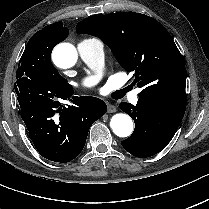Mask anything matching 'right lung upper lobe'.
<instances>
[{
	"mask_svg": "<svg viewBox=\"0 0 209 209\" xmlns=\"http://www.w3.org/2000/svg\"><path fill=\"white\" fill-rule=\"evenodd\" d=\"M49 31V38L55 43V45L63 41L69 34V30L63 27L62 22H56L51 25L44 27L39 32Z\"/></svg>",
	"mask_w": 209,
	"mask_h": 209,
	"instance_id": "cb5924a9",
	"label": "right lung upper lobe"
}]
</instances>
